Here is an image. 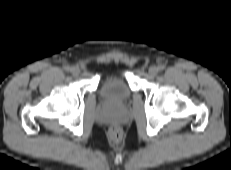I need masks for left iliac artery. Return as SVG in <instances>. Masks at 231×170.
<instances>
[{
  "label": "left iliac artery",
  "instance_id": "44dca946",
  "mask_svg": "<svg viewBox=\"0 0 231 170\" xmlns=\"http://www.w3.org/2000/svg\"><path fill=\"white\" fill-rule=\"evenodd\" d=\"M164 68H165L164 65H159V66H158V70H159V71L164 70Z\"/></svg>",
  "mask_w": 231,
  "mask_h": 170
}]
</instances>
